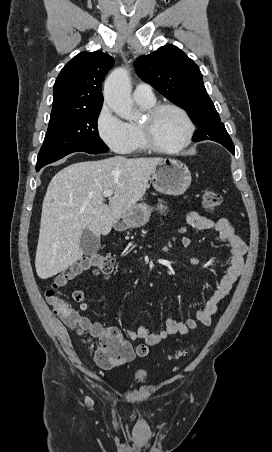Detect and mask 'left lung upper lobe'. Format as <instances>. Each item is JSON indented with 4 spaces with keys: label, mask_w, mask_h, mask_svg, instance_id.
Masks as SVG:
<instances>
[{
    "label": "left lung upper lobe",
    "mask_w": 272,
    "mask_h": 452,
    "mask_svg": "<svg viewBox=\"0 0 272 452\" xmlns=\"http://www.w3.org/2000/svg\"><path fill=\"white\" fill-rule=\"evenodd\" d=\"M134 65L142 80L189 113L199 127L194 141L230 138L207 94L198 66L182 50L165 45L138 57Z\"/></svg>",
    "instance_id": "obj_1"
}]
</instances>
